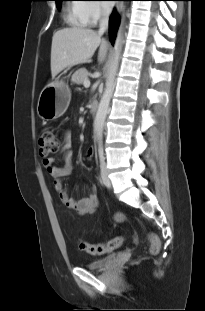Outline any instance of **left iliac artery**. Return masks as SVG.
<instances>
[{
  "mask_svg": "<svg viewBox=\"0 0 205 311\" xmlns=\"http://www.w3.org/2000/svg\"><path fill=\"white\" fill-rule=\"evenodd\" d=\"M98 154H99V159L101 162L104 161V156H103V145H102V142H99L98 143Z\"/></svg>",
  "mask_w": 205,
  "mask_h": 311,
  "instance_id": "left-iliac-artery-1",
  "label": "left iliac artery"
}]
</instances>
